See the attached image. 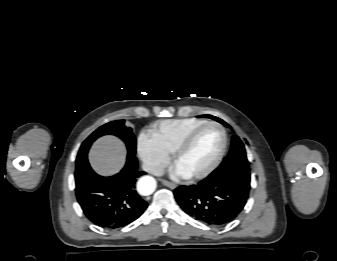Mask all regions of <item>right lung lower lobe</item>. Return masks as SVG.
<instances>
[{"label": "right lung lower lobe", "instance_id": "right-lung-lower-lobe-1", "mask_svg": "<svg viewBox=\"0 0 337 261\" xmlns=\"http://www.w3.org/2000/svg\"><path fill=\"white\" fill-rule=\"evenodd\" d=\"M144 174L138 171L137 158L132 153H128L125 167L111 177L97 175L85 157L76 163L77 201L94 224L106 229L124 227L148 206L135 189L137 179Z\"/></svg>", "mask_w": 337, "mask_h": 261}]
</instances>
